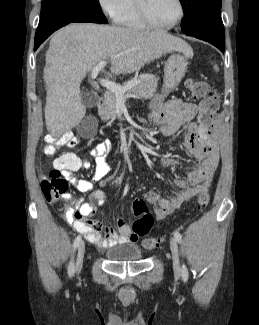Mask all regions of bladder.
Segmentation results:
<instances>
[{
  "mask_svg": "<svg viewBox=\"0 0 259 325\" xmlns=\"http://www.w3.org/2000/svg\"><path fill=\"white\" fill-rule=\"evenodd\" d=\"M105 256L112 262L137 261L143 256L142 250L135 244H120L108 248Z\"/></svg>",
  "mask_w": 259,
  "mask_h": 325,
  "instance_id": "bladder-1",
  "label": "bladder"
}]
</instances>
